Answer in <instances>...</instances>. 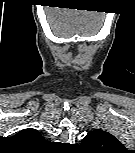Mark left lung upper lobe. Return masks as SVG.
<instances>
[{"label":"left lung upper lobe","mask_w":135,"mask_h":153,"mask_svg":"<svg viewBox=\"0 0 135 153\" xmlns=\"http://www.w3.org/2000/svg\"><path fill=\"white\" fill-rule=\"evenodd\" d=\"M81 145L96 153H114L125 150L124 146L113 135L100 129L88 132Z\"/></svg>","instance_id":"obj_1"}]
</instances>
